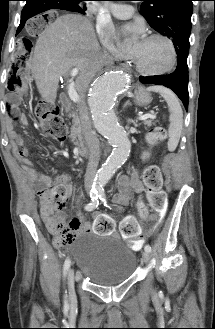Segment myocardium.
Wrapping results in <instances>:
<instances>
[{
  "label": "myocardium",
  "instance_id": "myocardium-1",
  "mask_svg": "<svg viewBox=\"0 0 215 329\" xmlns=\"http://www.w3.org/2000/svg\"><path fill=\"white\" fill-rule=\"evenodd\" d=\"M148 38L163 40L164 42L167 43L172 53V60L169 66L162 70H157V71L146 70L138 63V61L136 60L133 54H130L131 63L139 73L146 76H161L170 73L176 67L178 61V51L174 42L169 37L162 34H152Z\"/></svg>",
  "mask_w": 215,
  "mask_h": 329
}]
</instances>
